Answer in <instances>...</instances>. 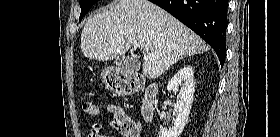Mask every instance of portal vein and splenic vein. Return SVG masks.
I'll use <instances>...</instances> for the list:
<instances>
[{"mask_svg":"<svg viewBox=\"0 0 280 137\" xmlns=\"http://www.w3.org/2000/svg\"><path fill=\"white\" fill-rule=\"evenodd\" d=\"M133 46H134L135 49L139 48V44L138 43H133ZM146 57H147V55H144V58H146Z\"/></svg>","mask_w":280,"mask_h":137,"instance_id":"portal-vein-and-splenic-vein-1","label":"portal vein and splenic vein"}]
</instances>
